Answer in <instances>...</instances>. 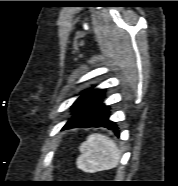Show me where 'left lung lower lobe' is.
<instances>
[{
	"label": "left lung lower lobe",
	"instance_id": "left-lung-lower-lobe-1",
	"mask_svg": "<svg viewBox=\"0 0 178 186\" xmlns=\"http://www.w3.org/2000/svg\"><path fill=\"white\" fill-rule=\"evenodd\" d=\"M109 117V107L101 103L79 115L72 122L64 126L63 129L75 127H105L110 130H115L116 134L119 135L117 125L111 121Z\"/></svg>",
	"mask_w": 178,
	"mask_h": 186
}]
</instances>
